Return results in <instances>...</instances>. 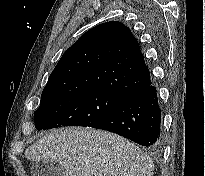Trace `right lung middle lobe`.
Here are the masks:
<instances>
[{"instance_id":"1","label":"right lung middle lobe","mask_w":205,"mask_h":176,"mask_svg":"<svg viewBox=\"0 0 205 176\" xmlns=\"http://www.w3.org/2000/svg\"><path fill=\"white\" fill-rule=\"evenodd\" d=\"M126 97L100 89L46 95L34 113L38 131L64 126L93 127L107 118Z\"/></svg>"}]
</instances>
